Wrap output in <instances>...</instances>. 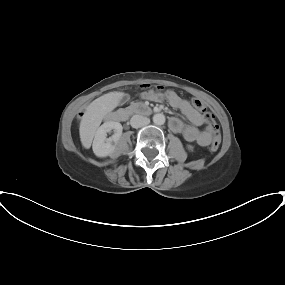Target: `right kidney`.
<instances>
[{
  "mask_svg": "<svg viewBox=\"0 0 285 285\" xmlns=\"http://www.w3.org/2000/svg\"><path fill=\"white\" fill-rule=\"evenodd\" d=\"M114 130V135L107 138V133ZM123 127L119 122L107 121L96 131L92 149L97 157H107L115 153V145L122 135ZM113 142L115 144H113Z\"/></svg>",
  "mask_w": 285,
  "mask_h": 285,
  "instance_id": "1",
  "label": "right kidney"
}]
</instances>
